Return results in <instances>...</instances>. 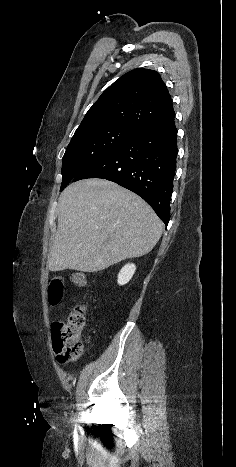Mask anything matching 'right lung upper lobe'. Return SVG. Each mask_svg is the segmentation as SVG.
Returning <instances> with one entry per match:
<instances>
[{
	"label": "right lung upper lobe",
	"mask_w": 236,
	"mask_h": 467,
	"mask_svg": "<svg viewBox=\"0 0 236 467\" xmlns=\"http://www.w3.org/2000/svg\"><path fill=\"white\" fill-rule=\"evenodd\" d=\"M173 113L170 94L159 73L138 68L102 93L75 133L105 125H122L138 131Z\"/></svg>",
	"instance_id": "obj_1"
}]
</instances>
